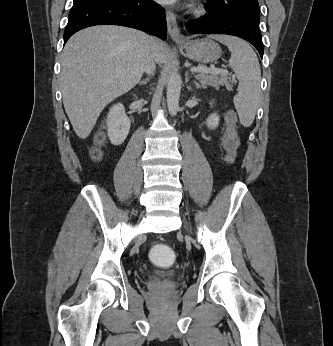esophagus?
I'll list each match as a JSON object with an SVG mask.
<instances>
[{"label":"esophagus","instance_id":"esophagus-1","mask_svg":"<svg viewBox=\"0 0 333 346\" xmlns=\"http://www.w3.org/2000/svg\"><path fill=\"white\" fill-rule=\"evenodd\" d=\"M166 21L168 32L172 40L176 42L184 41V37L181 35L176 21V16L171 10L168 9H166Z\"/></svg>","mask_w":333,"mask_h":346}]
</instances>
